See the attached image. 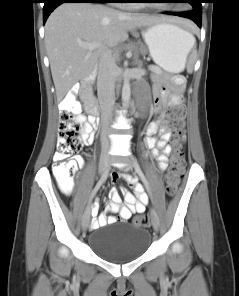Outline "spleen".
<instances>
[{"instance_id": "1", "label": "spleen", "mask_w": 239, "mask_h": 296, "mask_svg": "<svg viewBox=\"0 0 239 296\" xmlns=\"http://www.w3.org/2000/svg\"><path fill=\"white\" fill-rule=\"evenodd\" d=\"M190 39H191V42H192V47H193V45H194V43H195V39H194V37H193V35L191 34V37H190ZM191 47V48H192ZM192 67H193V63L191 62V63H189V65H188V71L189 72H191L192 71Z\"/></svg>"}]
</instances>
